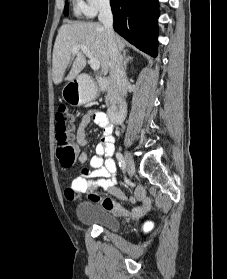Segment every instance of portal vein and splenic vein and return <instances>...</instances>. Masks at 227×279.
<instances>
[{"label": "portal vein and splenic vein", "instance_id": "18ae733b", "mask_svg": "<svg viewBox=\"0 0 227 279\" xmlns=\"http://www.w3.org/2000/svg\"><path fill=\"white\" fill-rule=\"evenodd\" d=\"M79 50H81L88 58H89V64L93 70H98L100 68V62L98 59L93 57L90 50L84 46V45H76L72 49V53H77Z\"/></svg>", "mask_w": 227, "mask_h": 279}]
</instances>
